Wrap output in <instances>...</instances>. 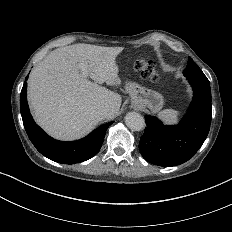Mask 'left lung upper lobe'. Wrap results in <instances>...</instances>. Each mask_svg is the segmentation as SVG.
<instances>
[{
    "label": "left lung upper lobe",
    "mask_w": 232,
    "mask_h": 232,
    "mask_svg": "<svg viewBox=\"0 0 232 232\" xmlns=\"http://www.w3.org/2000/svg\"><path fill=\"white\" fill-rule=\"evenodd\" d=\"M183 74L194 89L211 92L209 80L191 57L188 58L187 68L183 71Z\"/></svg>",
    "instance_id": "5c2ea615"
}]
</instances>
